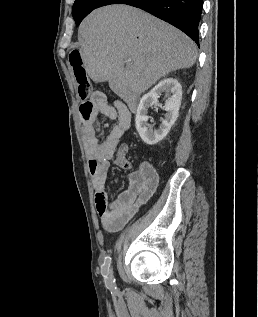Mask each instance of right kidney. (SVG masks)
<instances>
[{"label": "right kidney", "instance_id": "right-kidney-1", "mask_svg": "<svg viewBox=\"0 0 258 317\" xmlns=\"http://www.w3.org/2000/svg\"><path fill=\"white\" fill-rule=\"evenodd\" d=\"M161 92H167L170 98L165 102L164 110H167L165 118H162L159 128L153 130V128H149L147 122L149 118V116H147V110L149 106L158 102V96ZM181 100L182 86L177 78H163V80L155 84L147 94H144V96L140 98V102L137 106L135 124L144 142H147V144H157L159 140L165 138L172 124L177 120Z\"/></svg>", "mask_w": 258, "mask_h": 317}]
</instances>
